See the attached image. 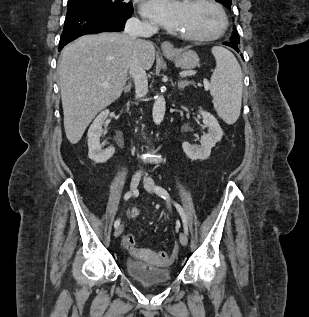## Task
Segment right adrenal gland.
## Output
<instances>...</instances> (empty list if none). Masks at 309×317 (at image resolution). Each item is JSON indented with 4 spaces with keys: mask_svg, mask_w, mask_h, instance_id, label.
Listing matches in <instances>:
<instances>
[{
    "mask_svg": "<svg viewBox=\"0 0 309 317\" xmlns=\"http://www.w3.org/2000/svg\"><path fill=\"white\" fill-rule=\"evenodd\" d=\"M131 87H132V83H131V82H129V83L125 86V88H124V92H125V93L130 92Z\"/></svg>",
    "mask_w": 309,
    "mask_h": 317,
    "instance_id": "right-adrenal-gland-1",
    "label": "right adrenal gland"
}]
</instances>
